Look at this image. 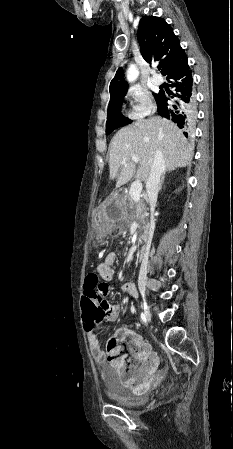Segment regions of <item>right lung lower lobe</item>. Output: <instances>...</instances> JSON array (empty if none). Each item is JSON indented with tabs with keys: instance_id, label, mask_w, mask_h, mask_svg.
<instances>
[{
	"instance_id": "1",
	"label": "right lung lower lobe",
	"mask_w": 233,
	"mask_h": 449,
	"mask_svg": "<svg viewBox=\"0 0 233 449\" xmlns=\"http://www.w3.org/2000/svg\"><path fill=\"white\" fill-rule=\"evenodd\" d=\"M174 93L160 92L156 100L158 113L175 122L186 136L193 134L195 101L193 79L187 61L167 76Z\"/></svg>"
}]
</instances>
